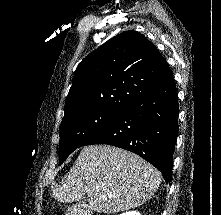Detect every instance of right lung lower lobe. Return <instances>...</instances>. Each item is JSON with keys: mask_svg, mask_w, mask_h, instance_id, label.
I'll use <instances>...</instances> for the list:
<instances>
[{"mask_svg": "<svg viewBox=\"0 0 221 215\" xmlns=\"http://www.w3.org/2000/svg\"><path fill=\"white\" fill-rule=\"evenodd\" d=\"M178 94L171 76L160 88L136 101L83 146L108 144L138 154L172 181L178 135Z\"/></svg>", "mask_w": 221, "mask_h": 215, "instance_id": "98d812e1", "label": "right lung lower lobe"}]
</instances>
